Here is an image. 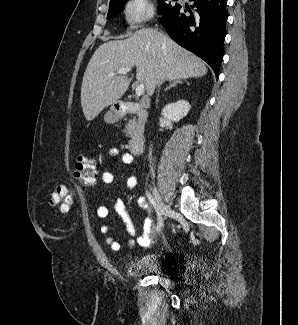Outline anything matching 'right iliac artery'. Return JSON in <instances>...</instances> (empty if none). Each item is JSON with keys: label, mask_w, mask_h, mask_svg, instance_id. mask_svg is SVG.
I'll return each mask as SVG.
<instances>
[{"label": "right iliac artery", "mask_w": 298, "mask_h": 325, "mask_svg": "<svg viewBox=\"0 0 298 325\" xmlns=\"http://www.w3.org/2000/svg\"><path fill=\"white\" fill-rule=\"evenodd\" d=\"M146 195H147V197H148L150 203L154 206V208H155V210H156V212H157V221H158V222H157L156 231H157V232H160V231H161V228H162V226H163V220H162V218H161V216H160V214H159V212H158V210H157V208H156V205H155V203H154V200H153L151 194H150L149 192H147Z\"/></svg>", "instance_id": "82829eb1"}]
</instances>
